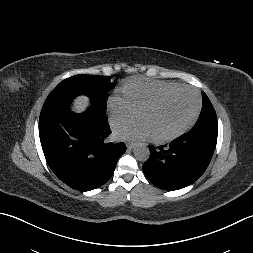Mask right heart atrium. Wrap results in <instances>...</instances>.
Returning a JSON list of instances; mask_svg holds the SVG:
<instances>
[{"instance_id": "obj_1", "label": "right heart atrium", "mask_w": 253, "mask_h": 253, "mask_svg": "<svg viewBox=\"0 0 253 253\" xmlns=\"http://www.w3.org/2000/svg\"><path fill=\"white\" fill-rule=\"evenodd\" d=\"M107 107L112 125L129 122L136 114V111L128 104V102L120 97H111L108 101Z\"/></svg>"}]
</instances>
